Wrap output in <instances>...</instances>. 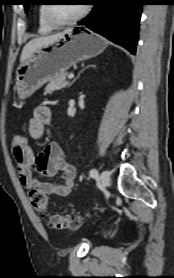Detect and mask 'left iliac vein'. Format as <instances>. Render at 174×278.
Segmentation results:
<instances>
[{
  "mask_svg": "<svg viewBox=\"0 0 174 278\" xmlns=\"http://www.w3.org/2000/svg\"><path fill=\"white\" fill-rule=\"evenodd\" d=\"M100 181L102 187H107L110 181V172L107 170H104L100 175Z\"/></svg>",
  "mask_w": 174,
  "mask_h": 278,
  "instance_id": "4c4485c4",
  "label": "left iliac vein"
}]
</instances>
